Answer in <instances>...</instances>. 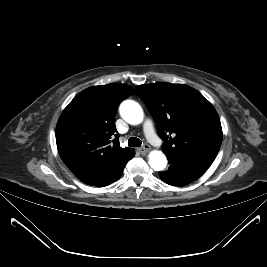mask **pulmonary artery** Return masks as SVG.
Masks as SVG:
<instances>
[{
    "label": "pulmonary artery",
    "mask_w": 267,
    "mask_h": 267,
    "mask_svg": "<svg viewBox=\"0 0 267 267\" xmlns=\"http://www.w3.org/2000/svg\"><path fill=\"white\" fill-rule=\"evenodd\" d=\"M143 131L147 137V139L154 145L159 146L161 141L157 136L153 122L151 120H146L143 125Z\"/></svg>",
    "instance_id": "obj_1"
}]
</instances>
